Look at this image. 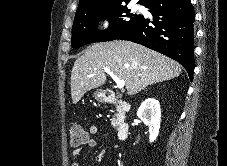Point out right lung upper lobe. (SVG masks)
Instances as JSON below:
<instances>
[{
	"label": "right lung upper lobe",
	"mask_w": 227,
	"mask_h": 166,
	"mask_svg": "<svg viewBox=\"0 0 227 166\" xmlns=\"http://www.w3.org/2000/svg\"><path fill=\"white\" fill-rule=\"evenodd\" d=\"M131 0H79L76 13L90 10L105 9L128 4ZM149 0H139V4L144 5Z\"/></svg>",
	"instance_id": "cb5924a9"
}]
</instances>
